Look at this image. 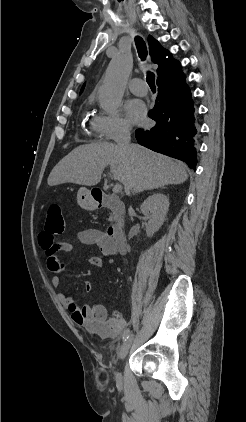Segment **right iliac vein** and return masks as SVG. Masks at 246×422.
<instances>
[{
  "label": "right iliac vein",
  "instance_id": "right-iliac-vein-1",
  "mask_svg": "<svg viewBox=\"0 0 246 422\" xmlns=\"http://www.w3.org/2000/svg\"><path fill=\"white\" fill-rule=\"evenodd\" d=\"M132 341H133V335L129 336L124 341V343L122 344V346L120 347V351H119V359L120 360H124L125 359L128 351H129V348H130V346L132 344ZM115 379H116V383L118 385H121L122 384V375H121L120 372H116Z\"/></svg>",
  "mask_w": 246,
  "mask_h": 422
}]
</instances>
